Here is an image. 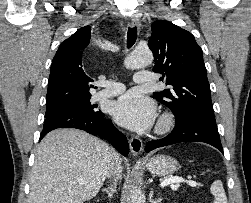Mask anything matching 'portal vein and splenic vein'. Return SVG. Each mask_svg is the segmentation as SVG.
Segmentation results:
<instances>
[{"mask_svg":"<svg viewBox=\"0 0 251 203\" xmlns=\"http://www.w3.org/2000/svg\"><path fill=\"white\" fill-rule=\"evenodd\" d=\"M181 182H186L189 186L191 187H196L197 186V182L195 181H187V180H184L183 178H180V177H173V178H168L166 180H164L163 182H161L160 186L163 188L169 184H172V183H181Z\"/></svg>","mask_w":251,"mask_h":203,"instance_id":"obj_1","label":"portal vein and splenic vein"}]
</instances>
